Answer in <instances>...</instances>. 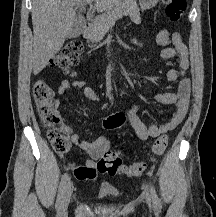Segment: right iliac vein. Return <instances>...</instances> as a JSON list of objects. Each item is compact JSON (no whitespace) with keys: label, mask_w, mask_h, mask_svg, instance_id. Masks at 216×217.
<instances>
[{"label":"right iliac vein","mask_w":216,"mask_h":217,"mask_svg":"<svg viewBox=\"0 0 216 217\" xmlns=\"http://www.w3.org/2000/svg\"><path fill=\"white\" fill-rule=\"evenodd\" d=\"M72 192H73V184L71 182H68V184L64 190V193H63V198H62V202H61V209H60L61 211L64 212L67 210L70 199H71Z\"/></svg>","instance_id":"right-iliac-vein-1"}]
</instances>
